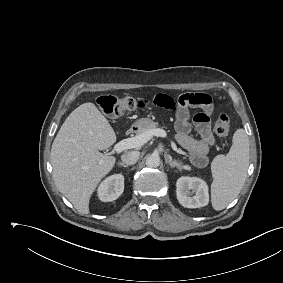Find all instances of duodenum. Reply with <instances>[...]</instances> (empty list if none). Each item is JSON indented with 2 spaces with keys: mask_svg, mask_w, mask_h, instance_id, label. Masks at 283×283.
<instances>
[{
  "mask_svg": "<svg viewBox=\"0 0 283 283\" xmlns=\"http://www.w3.org/2000/svg\"><path fill=\"white\" fill-rule=\"evenodd\" d=\"M137 129H138V128H137L136 126L131 127V128L127 131V134H132V133L136 132Z\"/></svg>",
  "mask_w": 283,
  "mask_h": 283,
  "instance_id": "1",
  "label": "duodenum"
}]
</instances>
